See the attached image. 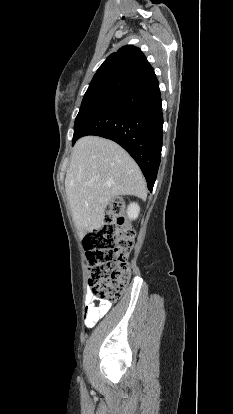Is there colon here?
<instances>
[{"label":"colon","instance_id":"obj_1","mask_svg":"<svg viewBox=\"0 0 233 414\" xmlns=\"http://www.w3.org/2000/svg\"><path fill=\"white\" fill-rule=\"evenodd\" d=\"M134 230L126 224L124 203L110 204L103 227L84 240L92 294L118 301L127 286L131 268L128 257L134 245Z\"/></svg>","mask_w":233,"mask_h":414}]
</instances>
